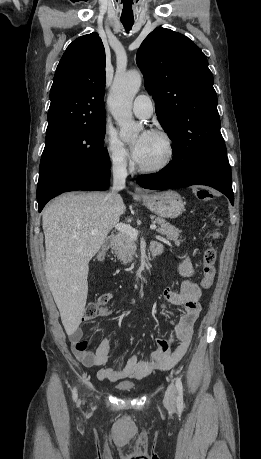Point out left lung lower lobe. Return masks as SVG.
Wrapping results in <instances>:
<instances>
[{"label":"left lung lower lobe","instance_id":"obj_1","mask_svg":"<svg viewBox=\"0 0 261 459\" xmlns=\"http://www.w3.org/2000/svg\"><path fill=\"white\" fill-rule=\"evenodd\" d=\"M137 183L154 190L207 185L225 194L234 204L231 167L226 152L201 158L184 171L169 164L157 174L138 177Z\"/></svg>","mask_w":261,"mask_h":459}]
</instances>
